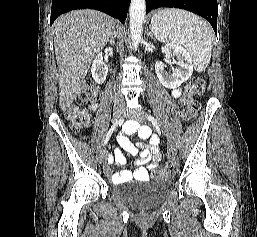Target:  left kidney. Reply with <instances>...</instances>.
Wrapping results in <instances>:
<instances>
[{
	"mask_svg": "<svg viewBox=\"0 0 257 237\" xmlns=\"http://www.w3.org/2000/svg\"><path fill=\"white\" fill-rule=\"evenodd\" d=\"M164 51L168 64H176L178 67L173 69L172 74L167 72L166 64L162 61H158L155 64V72L160 83L170 89H175L184 83L193 73V66L191 63L189 53L178 44H165ZM173 61H171V59Z\"/></svg>",
	"mask_w": 257,
	"mask_h": 237,
	"instance_id": "1",
	"label": "left kidney"
}]
</instances>
